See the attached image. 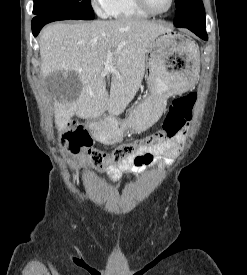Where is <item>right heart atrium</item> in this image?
Segmentation results:
<instances>
[{"label": "right heart atrium", "instance_id": "right-heart-atrium-1", "mask_svg": "<svg viewBox=\"0 0 247 275\" xmlns=\"http://www.w3.org/2000/svg\"><path fill=\"white\" fill-rule=\"evenodd\" d=\"M111 0H90V4L95 12L101 16H108Z\"/></svg>", "mask_w": 247, "mask_h": 275}]
</instances>
